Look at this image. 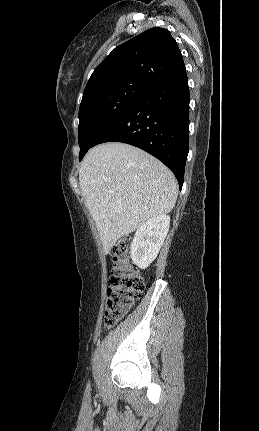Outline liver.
<instances>
[{
    "label": "liver",
    "mask_w": 259,
    "mask_h": 431,
    "mask_svg": "<svg viewBox=\"0 0 259 431\" xmlns=\"http://www.w3.org/2000/svg\"><path fill=\"white\" fill-rule=\"evenodd\" d=\"M79 183L105 254L119 238L151 217L169 213L178 195L177 180L163 163L137 147L117 142L89 150Z\"/></svg>",
    "instance_id": "1"
}]
</instances>
